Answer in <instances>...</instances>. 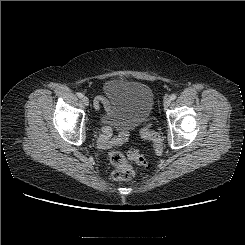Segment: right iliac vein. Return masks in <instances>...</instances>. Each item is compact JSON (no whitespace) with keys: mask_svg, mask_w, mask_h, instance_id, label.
Here are the masks:
<instances>
[{"mask_svg":"<svg viewBox=\"0 0 245 245\" xmlns=\"http://www.w3.org/2000/svg\"><path fill=\"white\" fill-rule=\"evenodd\" d=\"M82 101H83V103H84L85 106H88L89 105V99H88V97L83 96L82 97Z\"/></svg>","mask_w":245,"mask_h":245,"instance_id":"63e3f726","label":"right iliac vein"}]
</instances>
